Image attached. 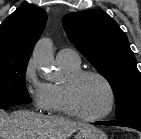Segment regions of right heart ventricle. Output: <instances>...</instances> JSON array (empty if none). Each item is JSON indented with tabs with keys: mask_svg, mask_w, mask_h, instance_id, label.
<instances>
[{
	"mask_svg": "<svg viewBox=\"0 0 141 139\" xmlns=\"http://www.w3.org/2000/svg\"><path fill=\"white\" fill-rule=\"evenodd\" d=\"M59 66L65 73L66 77L80 70V64H59ZM47 89L49 95L50 110L59 113H66L62 98V83H49L47 84Z\"/></svg>",
	"mask_w": 141,
	"mask_h": 139,
	"instance_id": "right-heart-ventricle-1",
	"label": "right heart ventricle"
}]
</instances>
